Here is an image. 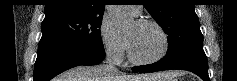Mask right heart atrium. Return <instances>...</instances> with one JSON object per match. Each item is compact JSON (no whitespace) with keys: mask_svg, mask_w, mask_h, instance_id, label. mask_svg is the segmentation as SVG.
<instances>
[{"mask_svg":"<svg viewBox=\"0 0 237 81\" xmlns=\"http://www.w3.org/2000/svg\"><path fill=\"white\" fill-rule=\"evenodd\" d=\"M100 38L105 54L115 62L122 61L126 50L125 40L108 19L101 23Z\"/></svg>","mask_w":237,"mask_h":81,"instance_id":"obj_1","label":"right heart atrium"}]
</instances>
